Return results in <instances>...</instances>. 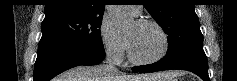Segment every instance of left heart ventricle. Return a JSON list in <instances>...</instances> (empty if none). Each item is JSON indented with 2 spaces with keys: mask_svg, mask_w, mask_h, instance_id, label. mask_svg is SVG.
<instances>
[{
  "mask_svg": "<svg viewBox=\"0 0 237 81\" xmlns=\"http://www.w3.org/2000/svg\"><path fill=\"white\" fill-rule=\"evenodd\" d=\"M133 54L139 59L157 56L163 48V40L153 26H140L134 22L125 34Z\"/></svg>",
  "mask_w": 237,
  "mask_h": 81,
  "instance_id": "1",
  "label": "left heart ventricle"
}]
</instances>
